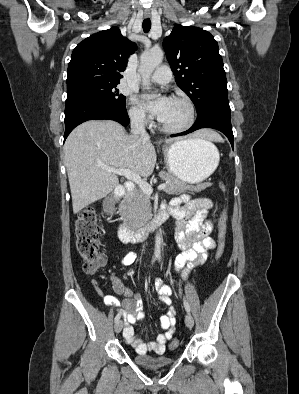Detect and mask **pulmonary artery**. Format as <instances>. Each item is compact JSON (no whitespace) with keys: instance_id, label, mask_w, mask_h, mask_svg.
Here are the masks:
<instances>
[{"instance_id":"e3ab8cb5","label":"pulmonary artery","mask_w":299,"mask_h":394,"mask_svg":"<svg viewBox=\"0 0 299 394\" xmlns=\"http://www.w3.org/2000/svg\"><path fill=\"white\" fill-rule=\"evenodd\" d=\"M152 81L161 85H167L171 81V70L167 66L159 67L151 76Z\"/></svg>"}]
</instances>
